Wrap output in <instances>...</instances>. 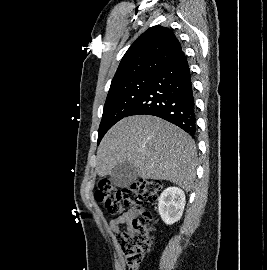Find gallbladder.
<instances>
[{
	"label": "gallbladder",
	"mask_w": 267,
	"mask_h": 270,
	"mask_svg": "<svg viewBox=\"0 0 267 270\" xmlns=\"http://www.w3.org/2000/svg\"><path fill=\"white\" fill-rule=\"evenodd\" d=\"M137 178V168L129 162L117 164L110 173V180L115 186L120 188L129 187Z\"/></svg>",
	"instance_id": "obj_1"
}]
</instances>
